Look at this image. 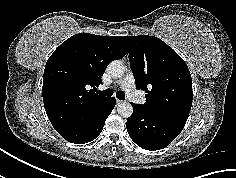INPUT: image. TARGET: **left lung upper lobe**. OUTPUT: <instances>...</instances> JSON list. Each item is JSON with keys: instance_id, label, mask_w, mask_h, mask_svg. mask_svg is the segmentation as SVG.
Returning <instances> with one entry per match:
<instances>
[{"instance_id": "left-lung-upper-lobe-1", "label": "left lung upper lobe", "mask_w": 236, "mask_h": 178, "mask_svg": "<svg viewBox=\"0 0 236 178\" xmlns=\"http://www.w3.org/2000/svg\"><path fill=\"white\" fill-rule=\"evenodd\" d=\"M136 87L146 92L148 111L186 123L193 91L189 69L184 60L157 37H124Z\"/></svg>"}]
</instances>
